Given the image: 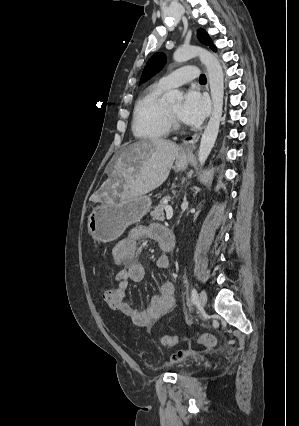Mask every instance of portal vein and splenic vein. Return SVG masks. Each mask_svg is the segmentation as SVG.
<instances>
[{"label":"portal vein and splenic vein","mask_w":299,"mask_h":426,"mask_svg":"<svg viewBox=\"0 0 299 426\" xmlns=\"http://www.w3.org/2000/svg\"><path fill=\"white\" fill-rule=\"evenodd\" d=\"M166 216H167V220L172 218L173 215V210L171 206H166Z\"/></svg>","instance_id":"portal-vein-and-splenic-vein-1"}]
</instances>
